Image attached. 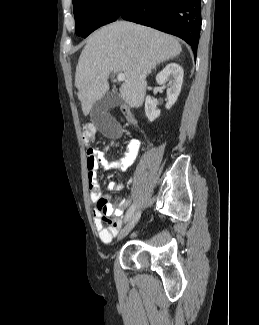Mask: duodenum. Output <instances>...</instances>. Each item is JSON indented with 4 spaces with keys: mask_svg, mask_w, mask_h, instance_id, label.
Instances as JSON below:
<instances>
[{
    "mask_svg": "<svg viewBox=\"0 0 259 325\" xmlns=\"http://www.w3.org/2000/svg\"><path fill=\"white\" fill-rule=\"evenodd\" d=\"M122 111H123V113H124V115H125V117L131 122V123H135V118H134V116L132 115V113L126 108V107H124L123 109H122Z\"/></svg>",
    "mask_w": 259,
    "mask_h": 325,
    "instance_id": "410a0bca",
    "label": "duodenum"
}]
</instances>
